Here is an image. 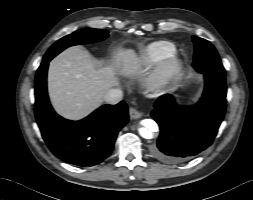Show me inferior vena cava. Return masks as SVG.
<instances>
[{"label":"inferior vena cava","instance_id":"1","mask_svg":"<svg viewBox=\"0 0 253 200\" xmlns=\"http://www.w3.org/2000/svg\"><path fill=\"white\" fill-rule=\"evenodd\" d=\"M122 98L123 92L119 88L109 89L103 96L104 101L108 104H117L122 100Z\"/></svg>","mask_w":253,"mask_h":200}]
</instances>
